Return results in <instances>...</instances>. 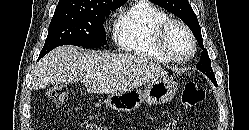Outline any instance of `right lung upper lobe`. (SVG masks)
I'll use <instances>...</instances> for the list:
<instances>
[{
  "instance_id": "1",
  "label": "right lung upper lobe",
  "mask_w": 249,
  "mask_h": 130,
  "mask_svg": "<svg viewBox=\"0 0 249 130\" xmlns=\"http://www.w3.org/2000/svg\"><path fill=\"white\" fill-rule=\"evenodd\" d=\"M126 0H60L57 7L66 6L86 10H99L108 6L124 4Z\"/></svg>"
}]
</instances>
